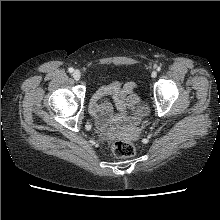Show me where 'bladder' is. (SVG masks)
<instances>
[{
  "label": "bladder",
  "instance_id": "bladder-1",
  "mask_svg": "<svg viewBox=\"0 0 220 220\" xmlns=\"http://www.w3.org/2000/svg\"><path fill=\"white\" fill-rule=\"evenodd\" d=\"M99 90V89H98ZM98 90L94 93V95L98 92ZM93 95V96H94ZM148 114V110L146 108H143L139 113H138V116L140 118H145Z\"/></svg>",
  "mask_w": 220,
  "mask_h": 220
}]
</instances>
